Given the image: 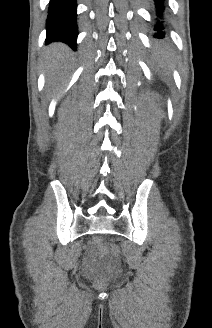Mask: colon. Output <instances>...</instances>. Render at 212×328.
I'll list each match as a JSON object with an SVG mask.
<instances>
[{
    "label": "colon",
    "mask_w": 212,
    "mask_h": 328,
    "mask_svg": "<svg viewBox=\"0 0 212 328\" xmlns=\"http://www.w3.org/2000/svg\"><path fill=\"white\" fill-rule=\"evenodd\" d=\"M96 245L99 249L101 256H105L108 253H111L114 258H117L119 256V248L116 245H111L108 247L101 239H97ZM115 268H118V266L115 265Z\"/></svg>",
    "instance_id": "colon-1"
}]
</instances>
